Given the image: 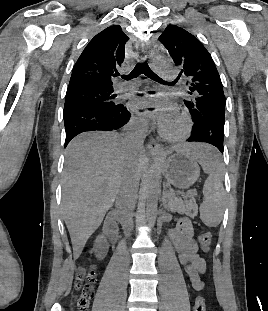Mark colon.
<instances>
[{
  "instance_id": "1",
  "label": "colon",
  "mask_w": 268,
  "mask_h": 311,
  "mask_svg": "<svg viewBox=\"0 0 268 311\" xmlns=\"http://www.w3.org/2000/svg\"><path fill=\"white\" fill-rule=\"evenodd\" d=\"M199 243L201 250L208 252L212 244L211 233H202L199 237ZM96 278V271L92 266L82 268L79 271L76 282L77 295L73 303L75 311H86L88 309L90 300L93 297ZM193 311H206V302L203 296L196 297Z\"/></svg>"
}]
</instances>
